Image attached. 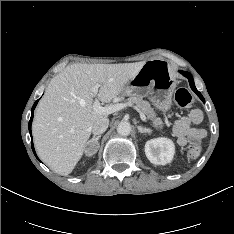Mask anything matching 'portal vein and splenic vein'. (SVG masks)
I'll use <instances>...</instances> for the list:
<instances>
[{
  "label": "portal vein and splenic vein",
  "instance_id": "obj_1",
  "mask_svg": "<svg viewBox=\"0 0 234 234\" xmlns=\"http://www.w3.org/2000/svg\"><path fill=\"white\" fill-rule=\"evenodd\" d=\"M99 86L100 85H95V86L92 87V92L95 95H97V93H98ZM126 106H127L126 103H120V104H115V105H109V106L102 107L97 98H95V100L93 102L94 112L99 113V114H107V115L112 114L114 112H117L119 110H122ZM140 117L144 122H146V116L142 112H140Z\"/></svg>",
  "mask_w": 234,
  "mask_h": 234
}]
</instances>
